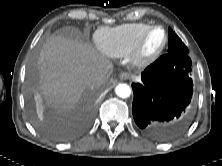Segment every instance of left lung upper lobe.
I'll use <instances>...</instances> for the list:
<instances>
[{
	"mask_svg": "<svg viewBox=\"0 0 222 166\" xmlns=\"http://www.w3.org/2000/svg\"><path fill=\"white\" fill-rule=\"evenodd\" d=\"M168 46V53H182L189 55L188 48L171 28H169Z\"/></svg>",
	"mask_w": 222,
	"mask_h": 166,
	"instance_id": "5c2ea615",
	"label": "left lung upper lobe"
}]
</instances>
